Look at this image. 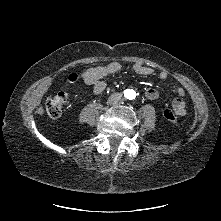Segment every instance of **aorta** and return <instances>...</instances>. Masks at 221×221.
I'll return each mask as SVG.
<instances>
[{
	"mask_svg": "<svg viewBox=\"0 0 221 221\" xmlns=\"http://www.w3.org/2000/svg\"><path fill=\"white\" fill-rule=\"evenodd\" d=\"M127 97L130 98V99H134V98L136 97L135 91L129 90V91L127 92Z\"/></svg>",
	"mask_w": 221,
	"mask_h": 221,
	"instance_id": "1",
	"label": "aorta"
}]
</instances>
